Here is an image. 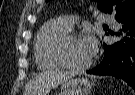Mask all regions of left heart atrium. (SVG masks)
Returning <instances> with one entry per match:
<instances>
[{"label":"left heart atrium","instance_id":"1","mask_svg":"<svg viewBox=\"0 0 135 95\" xmlns=\"http://www.w3.org/2000/svg\"><path fill=\"white\" fill-rule=\"evenodd\" d=\"M82 43L88 58H92L96 53V40L92 36H86L82 38Z\"/></svg>","mask_w":135,"mask_h":95}]
</instances>
